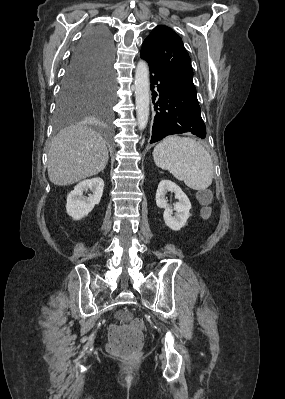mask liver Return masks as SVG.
<instances>
[{
  "label": "liver",
  "mask_w": 285,
  "mask_h": 399,
  "mask_svg": "<svg viewBox=\"0 0 285 399\" xmlns=\"http://www.w3.org/2000/svg\"><path fill=\"white\" fill-rule=\"evenodd\" d=\"M109 159L106 141L93 129L78 124L61 130L48 151L49 180L66 186L101 172Z\"/></svg>",
  "instance_id": "liver-1"
}]
</instances>
